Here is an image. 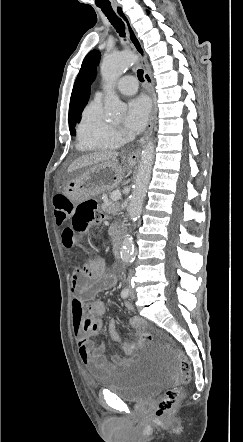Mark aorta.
I'll return each instance as SVG.
<instances>
[{
    "label": "aorta",
    "mask_w": 243,
    "mask_h": 442,
    "mask_svg": "<svg viewBox=\"0 0 243 442\" xmlns=\"http://www.w3.org/2000/svg\"><path fill=\"white\" fill-rule=\"evenodd\" d=\"M135 62L136 57L131 52L105 56L101 65L102 77L107 82H113L127 69L131 68ZM125 109V103H123L114 92H108L105 100L106 112L110 116H118L122 114ZM154 158L155 144L150 140L141 153L138 172L130 196L128 214L132 221L137 220L142 212L143 202L151 178ZM120 255L121 259L125 262H131L134 259V243L130 234L124 236L120 248Z\"/></svg>",
    "instance_id": "762f6f07"
}]
</instances>
